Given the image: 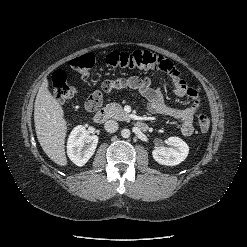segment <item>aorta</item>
Masks as SVG:
<instances>
[{
	"label": "aorta",
	"mask_w": 247,
	"mask_h": 247,
	"mask_svg": "<svg viewBox=\"0 0 247 247\" xmlns=\"http://www.w3.org/2000/svg\"><path fill=\"white\" fill-rule=\"evenodd\" d=\"M130 134H131V132H130L129 129H123V130L121 131V136H122L123 138H129V137H130Z\"/></svg>",
	"instance_id": "aorta-1"
}]
</instances>
